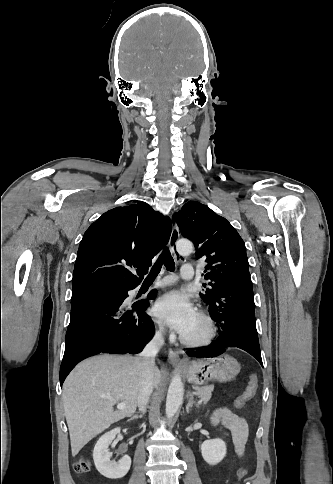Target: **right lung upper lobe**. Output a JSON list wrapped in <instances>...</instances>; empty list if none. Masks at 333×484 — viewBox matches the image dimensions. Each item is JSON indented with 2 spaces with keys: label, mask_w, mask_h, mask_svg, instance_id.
Masks as SVG:
<instances>
[{
  "label": "right lung upper lobe",
  "mask_w": 333,
  "mask_h": 484,
  "mask_svg": "<svg viewBox=\"0 0 333 484\" xmlns=\"http://www.w3.org/2000/svg\"><path fill=\"white\" fill-rule=\"evenodd\" d=\"M171 230L170 219L144 202L107 211L90 225L80 242L73 289L136 287L152 258L168 242Z\"/></svg>",
  "instance_id": "obj_1"
}]
</instances>
